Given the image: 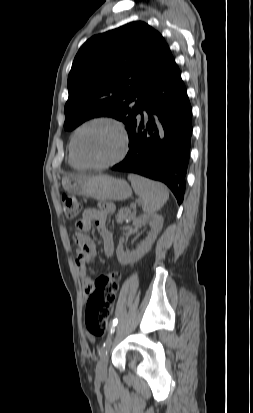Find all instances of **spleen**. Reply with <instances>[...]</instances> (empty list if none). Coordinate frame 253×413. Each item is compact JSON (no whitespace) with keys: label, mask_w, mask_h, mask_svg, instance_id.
Instances as JSON below:
<instances>
[{"label":"spleen","mask_w":253,"mask_h":413,"mask_svg":"<svg viewBox=\"0 0 253 413\" xmlns=\"http://www.w3.org/2000/svg\"><path fill=\"white\" fill-rule=\"evenodd\" d=\"M128 179L135 193L142 199V208L147 214L160 210L169 198L167 188L159 182L136 174H129Z\"/></svg>","instance_id":"obj_1"}]
</instances>
